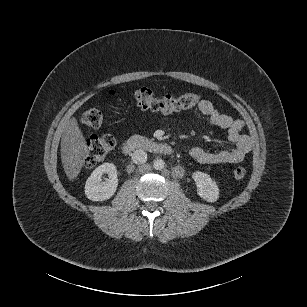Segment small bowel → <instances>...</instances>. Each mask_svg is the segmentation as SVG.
I'll list each match as a JSON object with an SVG mask.
<instances>
[{"label":"small bowel","instance_id":"1","mask_svg":"<svg viewBox=\"0 0 307 307\" xmlns=\"http://www.w3.org/2000/svg\"><path fill=\"white\" fill-rule=\"evenodd\" d=\"M197 107L212 125L227 131L228 141L232 147L218 151H207L201 147H193L189 151L190 157L197 163L208 165L241 162L252 148L250 137L244 133L243 121L220 112L209 100H201Z\"/></svg>","mask_w":307,"mask_h":307}]
</instances>
